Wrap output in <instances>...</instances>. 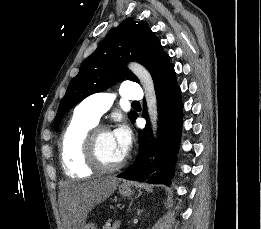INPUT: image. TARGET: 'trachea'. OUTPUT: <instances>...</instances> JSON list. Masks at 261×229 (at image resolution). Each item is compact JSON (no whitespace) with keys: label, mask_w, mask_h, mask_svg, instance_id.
Returning <instances> with one entry per match:
<instances>
[{"label":"trachea","mask_w":261,"mask_h":229,"mask_svg":"<svg viewBox=\"0 0 261 229\" xmlns=\"http://www.w3.org/2000/svg\"><path fill=\"white\" fill-rule=\"evenodd\" d=\"M133 104H139V102L135 101V102H133Z\"/></svg>","instance_id":"1"}]
</instances>
